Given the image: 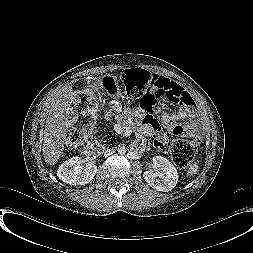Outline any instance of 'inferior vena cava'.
<instances>
[{
	"label": "inferior vena cava",
	"mask_w": 253,
	"mask_h": 253,
	"mask_svg": "<svg viewBox=\"0 0 253 253\" xmlns=\"http://www.w3.org/2000/svg\"><path fill=\"white\" fill-rule=\"evenodd\" d=\"M113 154H114V151H113V150H108V151L106 152V155H107L108 157H111Z\"/></svg>",
	"instance_id": "602c4592"
}]
</instances>
